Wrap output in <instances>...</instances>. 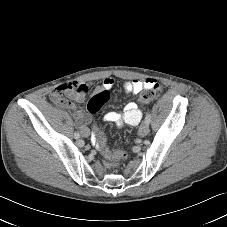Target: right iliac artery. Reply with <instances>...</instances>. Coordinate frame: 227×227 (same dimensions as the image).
I'll list each match as a JSON object with an SVG mask.
<instances>
[{
    "mask_svg": "<svg viewBox=\"0 0 227 227\" xmlns=\"http://www.w3.org/2000/svg\"><path fill=\"white\" fill-rule=\"evenodd\" d=\"M74 137H75L76 139H78V138H80V134H79L78 132H75V133H74Z\"/></svg>",
    "mask_w": 227,
    "mask_h": 227,
    "instance_id": "right-iliac-artery-1",
    "label": "right iliac artery"
}]
</instances>
